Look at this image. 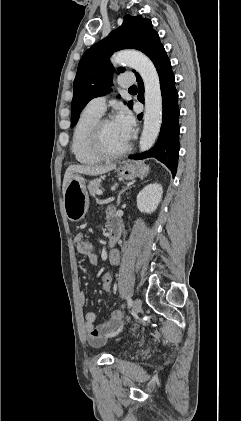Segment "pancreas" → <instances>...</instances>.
Masks as SVG:
<instances>
[{"mask_svg":"<svg viewBox=\"0 0 241 421\" xmlns=\"http://www.w3.org/2000/svg\"><path fill=\"white\" fill-rule=\"evenodd\" d=\"M117 186V184H115ZM100 187V179H95L89 182L88 190L91 196H95Z\"/></svg>","mask_w":241,"mask_h":421,"instance_id":"obj_1","label":"pancreas"}]
</instances>
